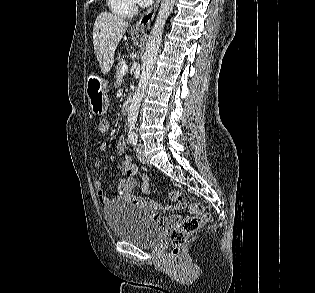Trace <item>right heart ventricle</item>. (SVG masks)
I'll return each instance as SVG.
<instances>
[{
    "instance_id": "e07e8e85",
    "label": "right heart ventricle",
    "mask_w": 315,
    "mask_h": 293,
    "mask_svg": "<svg viewBox=\"0 0 315 293\" xmlns=\"http://www.w3.org/2000/svg\"><path fill=\"white\" fill-rule=\"evenodd\" d=\"M109 10L118 17L131 18L135 15L136 6L133 0H106Z\"/></svg>"
}]
</instances>
